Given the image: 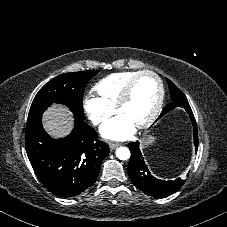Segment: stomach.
<instances>
[{
  "mask_svg": "<svg viewBox=\"0 0 227 227\" xmlns=\"http://www.w3.org/2000/svg\"><path fill=\"white\" fill-rule=\"evenodd\" d=\"M154 143H155V137L150 135L144 140L143 148H146L149 145H153Z\"/></svg>",
  "mask_w": 227,
  "mask_h": 227,
  "instance_id": "stomach-1",
  "label": "stomach"
}]
</instances>
